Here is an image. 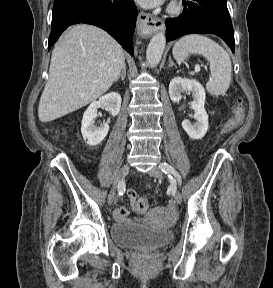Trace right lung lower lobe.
I'll list each match as a JSON object with an SVG mask.
<instances>
[{"label":"right lung lower lobe","mask_w":273,"mask_h":288,"mask_svg":"<svg viewBox=\"0 0 273 288\" xmlns=\"http://www.w3.org/2000/svg\"><path fill=\"white\" fill-rule=\"evenodd\" d=\"M136 19L133 0H54L48 50L68 26L87 23L107 31L133 56Z\"/></svg>","instance_id":"98d812e1"}]
</instances>
